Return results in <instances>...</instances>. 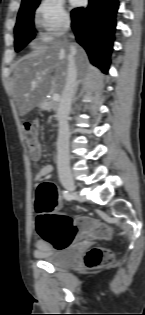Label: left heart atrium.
Here are the masks:
<instances>
[{"mask_svg":"<svg viewBox=\"0 0 145 315\" xmlns=\"http://www.w3.org/2000/svg\"><path fill=\"white\" fill-rule=\"evenodd\" d=\"M73 4H78L80 0H72Z\"/></svg>","mask_w":145,"mask_h":315,"instance_id":"left-heart-atrium-1","label":"left heart atrium"}]
</instances>
